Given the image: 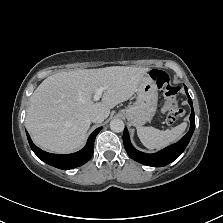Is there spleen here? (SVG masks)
<instances>
[{
	"label": "spleen",
	"mask_w": 223,
	"mask_h": 223,
	"mask_svg": "<svg viewBox=\"0 0 223 223\" xmlns=\"http://www.w3.org/2000/svg\"><path fill=\"white\" fill-rule=\"evenodd\" d=\"M186 127V122L165 131L154 127H137V134L143 145L148 149H161L176 141L185 131Z\"/></svg>",
	"instance_id": "spleen-1"
}]
</instances>
